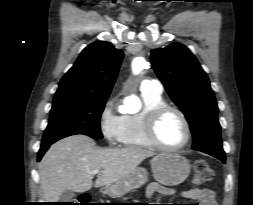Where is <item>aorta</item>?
<instances>
[{"mask_svg":"<svg viewBox=\"0 0 253 205\" xmlns=\"http://www.w3.org/2000/svg\"><path fill=\"white\" fill-rule=\"evenodd\" d=\"M145 66V60L143 58H137L132 63V69L134 74H138L143 70Z\"/></svg>","mask_w":253,"mask_h":205,"instance_id":"aorta-1","label":"aorta"}]
</instances>
